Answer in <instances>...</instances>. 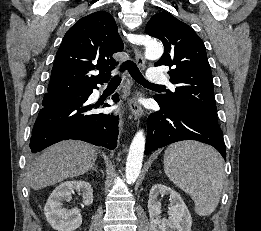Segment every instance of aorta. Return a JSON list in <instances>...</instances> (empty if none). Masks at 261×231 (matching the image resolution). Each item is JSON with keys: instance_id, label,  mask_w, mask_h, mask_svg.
Returning <instances> with one entry per match:
<instances>
[{"instance_id": "obj_1", "label": "aorta", "mask_w": 261, "mask_h": 231, "mask_svg": "<svg viewBox=\"0 0 261 231\" xmlns=\"http://www.w3.org/2000/svg\"><path fill=\"white\" fill-rule=\"evenodd\" d=\"M163 45L158 42L146 44L145 57L149 60H157L163 54ZM145 148V135L143 130H139L134 136L129 148L125 176L128 184L134 183L141 171Z\"/></svg>"}]
</instances>
